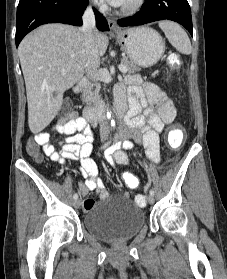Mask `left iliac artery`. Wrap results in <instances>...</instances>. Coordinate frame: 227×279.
<instances>
[{
    "instance_id": "left-iliac-artery-1",
    "label": "left iliac artery",
    "mask_w": 227,
    "mask_h": 279,
    "mask_svg": "<svg viewBox=\"0 0 227 279\" xmlns=\"http://www.w3.org/2000/svg\"><path fill=\"white\" fill-rule=\"evenodd\" d=\"M150 194H151V195H154V194H155V191H154L153 189H151V190H150Z\"/></svg>"
}]
</instances>
